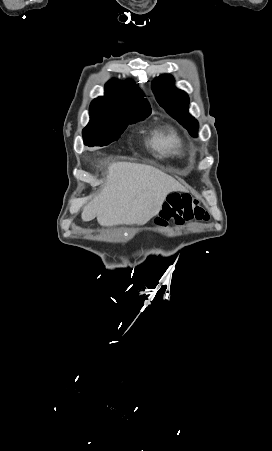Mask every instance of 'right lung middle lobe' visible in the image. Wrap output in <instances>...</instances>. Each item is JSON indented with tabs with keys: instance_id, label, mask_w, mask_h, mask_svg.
Returning a JSON list of instances; mask_svg holds the SVG:
<instances>
[{
	"instance_id": "right-lung-middle-lobe-1",
	"label": "right lung middle lobe",
	"mask_w": 272,
	"mask_h": 451,
	"mask_svg": "<svg viewBox=\"0 0 272 451\" xmlns=\"http://www.w3.org/2000/svg\"><path fill=\"white\" fill-rule=\"evenodd\" d=\"M90 122L83 129L84 144L105 146L117 140L129 124L144 120L151 114L150 108L129 111H89Z\"/></svg>"
}]
</instances>
